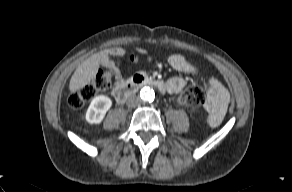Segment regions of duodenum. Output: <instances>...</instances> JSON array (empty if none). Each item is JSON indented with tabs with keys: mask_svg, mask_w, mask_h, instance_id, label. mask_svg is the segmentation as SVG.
Returning <instances> with one entry per match:
<instances>
[{
	"mask_svg": "<svg viewBox=\"0 0 292 192\" xmlns=\"http://www.w3.org/2000/svg\"><path fill=\"white\" fill-rule=\"evenodd\" d=\"M143 86H152L162 91L165 90V84L163 81L152 79L142 74H136L132 78L124 81L116 89L115 97L118 102L122 103Z\"/></svg>",
	"mask_w": 292,
	"mask_h": 192,
	"instance_id": "1",
	"label": "duodenum"
}]
</instances>
